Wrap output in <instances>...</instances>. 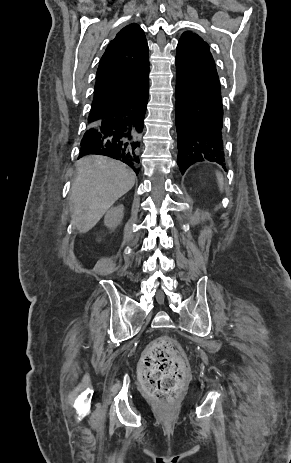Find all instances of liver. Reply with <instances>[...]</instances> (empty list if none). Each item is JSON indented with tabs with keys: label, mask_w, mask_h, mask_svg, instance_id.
Here are the masks:
<instances>
[{
	"label": "liver",
	"mask_w": 291,
	"mask_h": 463,
	"mask_svg": "<svg viewBox=\"0 0 291 463\" xmlns=\"http://www.w3.org/2000/svg\"><path fill=\"white\" fill-rule=\"evenodd\" d=\"M76 166L70 191L71 222L80 233H86L134 186L135 174L125 164L100 155L83 157Z\"/></svg>",
	"instance_id": "liver-1"
}]
</instances>
